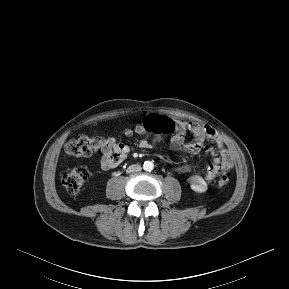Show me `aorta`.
Returning a JSON list of instances; mask_svg holds the SVG:
<instances>
[{
    "instance_id": "obj_1",
    "label": "aorta",
    "mask_w": 289,
    "mask_h": 289,
    "mask_svg": "<svg viewBox=\"0 0 289 289\" xmlns=\"http://www.w3.org/2000/svg\"><path fill=\"white\" fill-rule=\"evenodd\" d=\"M153 168H154V164H153V162H151V161H145L144 162V164H143V169L145 170V171H152L153 170Z\"/></svg>"
}]
</instances>
